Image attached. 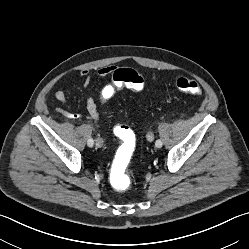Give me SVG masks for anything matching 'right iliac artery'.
<instances>
[{"label":"right iliac artery","mask_w":249,"mask_h":249,"mask_svg":"<svg viewBox=\"0 0 249 249\" xmlns=\"http://www.w3.org/2000/svg\"><path fill=\"white\" fill-rule=\"evenodd\" d=\"M87 144H88V146L92 147L94 144V140L92 138L88 139Z\"/></svg>","instance_id":"1"}]
</instances>
